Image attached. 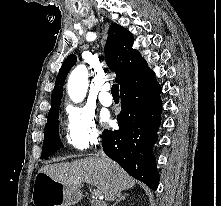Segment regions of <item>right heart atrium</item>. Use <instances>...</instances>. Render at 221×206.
Masks as SVG:
<instances>
[{
	"label": "right heart atrium",
	"mask_w": 221,
	"mask_h": 206,
	"mask_svg": "<svg viewBox=\"0 0 221 206\" xmlns=\"http://www.w3.org/2000/svg\"><path fill=\"white\" fill-rule=\"evenodd\" d=\"M65 113L66 138L72 148L82 151L99 140L94 115L89 109L77 105H67Z\"/></svg>",
	"instance_id": "obj_1"
}]
</instances>
